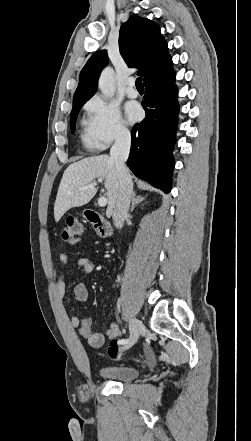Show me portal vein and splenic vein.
<instances>
[{"mask_svg": "<svg viewBox=\"0 0 251 441\" xmlns=\"http://www.w3.org/2000/svg\"><path fill=\"white\" fill-rule=\"evenodd\" d=\"M102 180L101 179H98V182H101ZM97 185V182H93V183H91V184H89V185H87V186H84V187H81L80 189L81 190H87V189H89V188H92V187H94V186H96ZM98 205L100 206V207H105L106 205H107V198L106 197H100L99 199H98Z\"/></svg>", "mask_w": 251, "mask_h": 441, "instance_id": "18ae733b", "label": "portal vein and splenic vein"}]
</instances>
